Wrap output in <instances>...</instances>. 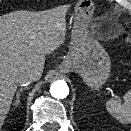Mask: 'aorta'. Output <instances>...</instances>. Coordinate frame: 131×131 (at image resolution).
<instances>
[{
	"mask_svg": "<svg viewBox=\"0 0 131 131\" xmlns=\"http://www.w3.org/2000/svg\"><path fill=\"white\" fill-rule=\"evenodd\" d=\"M50 93L56 99H64L69 95V87L65 81L58 80L51 85Z\"/></svg>",
	"mask_w": 131,
	"mask_h": 131,
	"instance_id": "aorta-1",
	"label": "aorta"
}]
</instances>
